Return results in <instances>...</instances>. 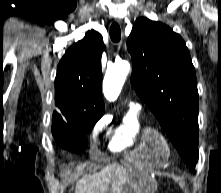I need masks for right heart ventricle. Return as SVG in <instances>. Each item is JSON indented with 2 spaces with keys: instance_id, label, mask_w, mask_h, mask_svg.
<instances>
[{
  "instance_id": "e07e8e85",
  "label": "right heart ventricle",
  "mask_w": 221,
  "mask_h": 193,
  "mask_svg": "<svg viewBox=\"0 0 221 193\" xmlns=\"http://www.w3.org/2000/svg\"><path fill=\"white\" fill-rule=\"evenodd\" d=\"M142 122L137 111L130 109L115 129L109 148L114 152H124L134 148L142 134Z\"/></svg>"
}]
</instances>
